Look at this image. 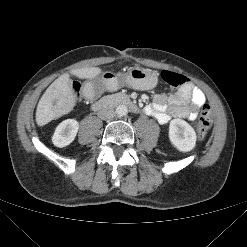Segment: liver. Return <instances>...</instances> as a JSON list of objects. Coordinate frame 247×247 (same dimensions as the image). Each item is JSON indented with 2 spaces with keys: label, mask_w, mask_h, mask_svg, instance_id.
Returning a JSON list of instances; mask_svg holds the SVG:
<instances>
[{
  "label": "liver",
  "mask_w": 247,
  "mask_h": 247,
  "mask_svg": "<svg viewBox=\"0 0 247 247\" xmlns=\"http://www.w3.org/2000/svg\"><path fill=\"white\" fill-rule=\"evenodd\" d=\"M102 73L98 67L74 69L71 74L80 79H93ZM122 73H117L120 76ZM68 73L58 77L44 92L38 102L36 123L44 126L50 121L71 112L76 103V96L70 84Z\"/></svg>",
  "instance_id": "obj_1"
}]
</instances>
